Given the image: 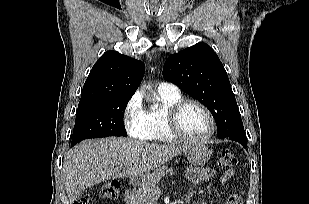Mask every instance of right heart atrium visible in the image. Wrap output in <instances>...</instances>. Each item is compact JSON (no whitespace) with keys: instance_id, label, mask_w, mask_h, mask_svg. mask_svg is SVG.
<instances>
[{"instance_id":"d8ad5b80","label":"right heart atrium","mask_w":309,"mask_h":204,"mask_svg":"<svg viewBox=\"0 0 309 204\" xmlns=\"http://www.w3.org/2000/svg\"><path fill=\"white\" fill-rule=\"evenodd\" d=\"M145 111L142 106L141 98L134 94L126 103L124 109V125L131 137L144 138L146 127L144 120Z\"/></svg>"}]
</instances>
